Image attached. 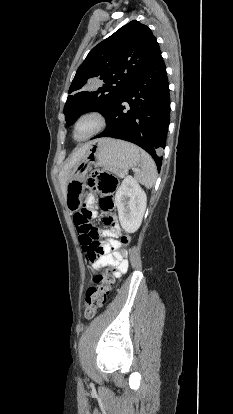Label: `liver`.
Wrapping results in <instances>:
<instances>
[{
	"mask_svg": "<svg viewBox=\"0 0 233 414\" xmlns=\"http://www.w3.org/2000/svg\"><path fill=\"white\" fill-rule=\"evenodd\" d=\"M89 148L90 144H85L82 147H80L77 151H75L67 160L62 171L60 172L59 181L64 197H66V187L72 170L77 166L79 162H81L85 158Z\"/></svg>",
	"mask_w": 233,
	"mask_h": 414,
	"instance_id": "liver-1",
	"label": "liver"
}]
</instances>
